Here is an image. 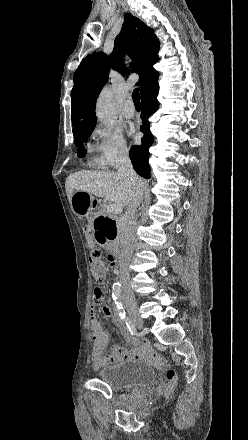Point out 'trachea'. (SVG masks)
Returning a JSON list of instances; mask_svg holds the SVG:
<instances>
[{"label":"trachea","instance_id":"trachea-1","mask_svg":"<svg viewBox=\"0 0 248 440\" xmlns=\"http://www.w3.org/2000/svg\"><path fill=\"white\" fill-rule=\"evenodd\" d=\"M133 102L136 107H140V95H139V89H134L132 93Z\"/></svg>","mask_w":248,"mask_h":440}]
</instances>
